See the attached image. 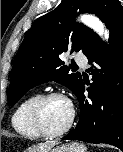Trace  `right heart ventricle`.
Here are the masks:
<instances>
[{
	"instance_id": "1",
	"label": "right heart ventricle",
	"mask_w": 123,
	"mask_h": 152,
	"mask_svg": "<svg viewBox=\"0 0 123 152\" xmlns=\"http://www.w3.org/2000/svg\"><path fill=\"white\" fill-rule=\"evenodd\" d=\"M39 94H32L22 100L14 110L11 124L16 133L28 139H38L42 136L34 129L30 121V110Z\"/></svg>"
}]
</instances>
